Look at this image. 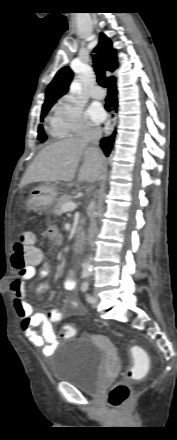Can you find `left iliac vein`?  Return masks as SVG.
<instances>
[{
    "label": "left iliac vein",
    "instance_id": "1",
    "mask_svg": "<svg viewBox=\"0 0 177 440\" xmlns=\"http://www.w3.org/2000/svg\"><path fill=\"white\" fill-rule=\"evenodd\" d=\"M93 297H94V302H92V306L94 308H96L98 306V303H99V297L97 295H93Z\"/></svg>",
    "mask_w": 177,
    "mask_h": 440
}]
</instances>
